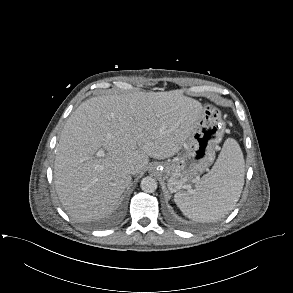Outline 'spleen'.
I'll use <instances>...</instances> for the list:
<instances>
[{"label":"spleen","mask_w":293,"mask_h":293,"mask_svg":"<svg viewBox=\"0 0 293 293\" xmlns=\"http://www.w3.org/2000/svg\"><path fill=\"white\" fill-rule=\"evenodd\" d=\"M244 164L239 144L228 138L212 169L195 188L174 195L176 205L195 221L212 222L223 218L239 200L244 185Z\"/></svg>","instance_id":"1"}]
</instances>
